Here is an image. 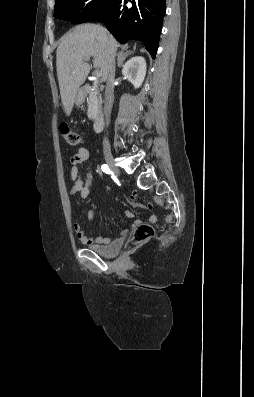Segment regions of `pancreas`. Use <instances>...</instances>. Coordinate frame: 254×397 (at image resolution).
I'll return each instance as SVG.
<instances>
[{
    "label": "pancreas",
    "mask_w": 254,
    "mask_h": 397,
    "mask_svg": "<svg viewBox=\"0 0 254 397\" xmlns=\"http://www.w3.org/2000/svg\"><path fill=\"white\" fill-rule=\"evenodd\" d=\"M92 88L93 89L89 93L88 97L87 115L89 119H94L97 116L102 104V99L97 84L94 83Z\"/></svg>",
    "instance_id": "1"
}]
</instances>
